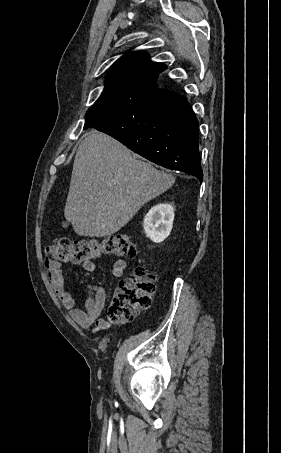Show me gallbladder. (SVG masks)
I'll use <instances>...</instances> for the list:
<instances>
[{
  "mask_svg": "<svg viewBox=\"0 0 281 453\" xmlns=\"http://www.w3.org/2000/svg\"><path fill=\"white\" fill-rule=\"evenodd\" d=\"M64 226H65L66 228H69V227L71 226V223H70L69 221H66V222L64 223Z\"/></svg>",
  "mask_w": 281,
  "mask_h": 453,
  "instance_id": "bac80fb5",
  "label": "gallbladder"
}]
</instances>
